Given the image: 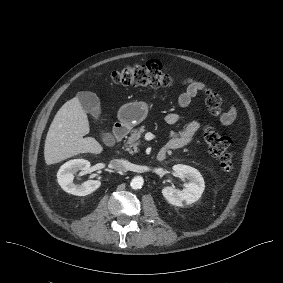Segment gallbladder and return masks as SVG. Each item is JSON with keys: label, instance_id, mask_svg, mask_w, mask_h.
Segmentation results:
<instances>
[{"label": "gallbladder", "instance_id": "1", "mask_svg": "<svg viewBox=\"0 0 283 283\" xmlns=\"http://www.w3.org/2000/svg\"><path fill=\"white\" fill-rule=\"evenodd\" d=\"M77 97L83 110L90 113L97 120L101 114L100 101L97 95L89 91H82L77 93ZM102 140L107 146L115 144V139L111 133H102Z\"/></svg>", "mask_w": 283, "mask_h": 283}]
</instances>
